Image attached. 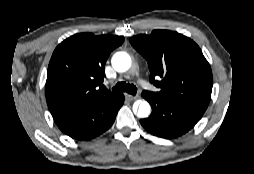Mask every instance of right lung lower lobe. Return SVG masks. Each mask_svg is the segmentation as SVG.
<instances>
[{"label":"right lung lower lobe","instance_id":"1","mask_svg":"<svg viewBox=\"0 0 254 174\" xmlns=\"http://www.w3.org/2000/svg\"><path fill=\"white\" fill-rule=\"evenodd\" d=\"M124 95L112 99L83 100L53 115L59 129L78 140H90L113 124Z\"/></svg>","mask_w":254,"mask_h":174}]
</instances>
